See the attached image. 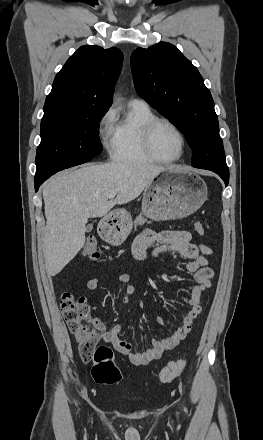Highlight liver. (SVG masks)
Masks as SVG:
<instances>
[{
	"label": "liver",
	"mask_w": 263,
	"mask_h": 440,
	"mask_svg": "<svg viewBox=\"0 0 263 440\" xmlns=\"http://www.w3.org/2000/svg\"><path fill=\"white\" fill-rule=\"evenodd\" d=\"M167 169L177 168L110 162L64 171L45 182L43 254L47 274L57 275L81 250L89 218L103 217L115 205L133 201ZM114 190L118 194L109 200Z\"/></svg>",
	"instance_id": "6515ba94"
}]
</instances>
